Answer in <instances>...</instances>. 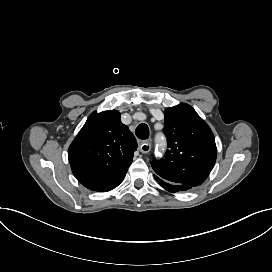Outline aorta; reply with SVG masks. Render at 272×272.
Returning <instances> with one entry per match:
<instances>
[{
  "label": "aorta",
  "instance_id": "obj_1",
  "mask_svg": "<svg viewBox=\"0 0 272 272\" xmlns=\"http://www.w3.org/2000/svg\"><path fill=\"white\" fill-rule=\"evenodd\" d=\"M159 136L160 135H157V137L155 138V141L158 143V141H159ZM164 145H166V141L165 140H163L162 141V146H164Z\"/></svg>",
  "mask_w": 272,
  "mask_h": 272
}]
</instances>
